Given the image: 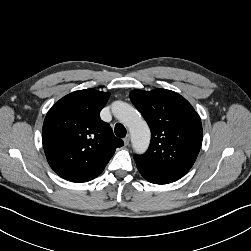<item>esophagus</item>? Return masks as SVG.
<instances>
[{"label":"esophagus","instance_id":"1","mask_svg":"<svg viewBox=\"0 0 251 251\" xmlns=\"http://www.w3.org/2000/svg\"><path fill=\"white\" fill-rule=\"evenodd\" d=\"M130 143V137L127 135L125 138H124V144L125 146H128Z\"/></svg>","mask_w":251,"mask_h":251}]
</instances>
